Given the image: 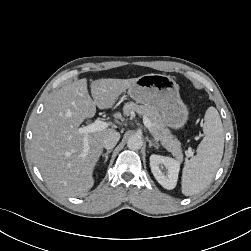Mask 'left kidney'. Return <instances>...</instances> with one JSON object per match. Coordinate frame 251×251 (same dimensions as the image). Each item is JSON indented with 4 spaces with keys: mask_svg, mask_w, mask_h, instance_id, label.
Returning <instances> with one entry per match:
<instances>
[{
    "mask_svg": "<svg viewBox=\"0 0 251 251\" xmlns=\"http://www.w3.org/2000/svg\"><path fill=\"white\" fill-rule=\"evenodd\" d=\"M161 166L165 167L166 174L162 171ZM150 167L160 185L168 190L175 188L180 170V162L178 160L153 154L150 156Z\"/></svg>",
    "mask_w": 251,
    "mask_h": 251,
    "instance_id": "obj_1",
    "label": "left kidney"
}]
</instances>
